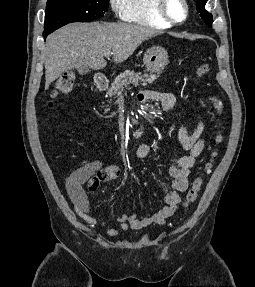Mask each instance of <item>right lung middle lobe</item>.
I'll return each mask as SVG.
<instances>
[{
    "instance_id": "right-lung-middle-lobe-1",
    "label": "right lung middle lobe",
    "mask_w": 255,
    "mask_h": 287,
    "mask_svg": "<svg viewBox=\"0 0 255 287\" xmlns=\"http://www.w3.org/2000/svg\"><path fill=\"white\" fill-rule=\"evenodd\" d=\"M109 0H47L44 33L72 22H89L104 15Z\"/></svg>"
}]
</instances>
